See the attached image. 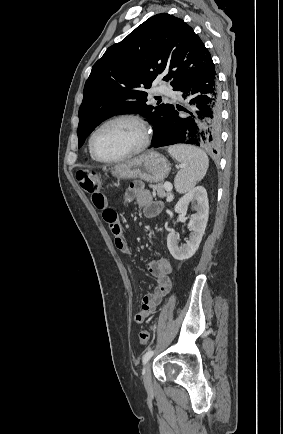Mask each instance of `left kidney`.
I'll return each instance as SVG.
<instances>
[{
    "label": "left kidney",
    "mask_w": 283,
    "mask_h": 434,
    "mask_svg": "<svg viewBox=\"0 0 283 434\" xmlns=\"http://www.w3.org/2000/svg\"><path fill=\"white\" fill-rule=\"evenodd\" d=\"M190 203H197L196 213L191 215L188 228L191 231L186 244L179 245V237L175 231L167 236V247L170 254L176 260H186L191 258L201 243L205 233L209 216V204L206 189L203 186L192 188L187 194L179 199L175 205V212L182 214L187 211Z\"/></svg>",
    "instance_id": "obj_1"
}]
</instances>
